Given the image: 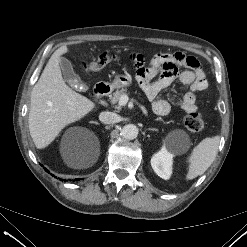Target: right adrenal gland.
<instances>
[{"label":"right adrenal gland","mask_w":247,"mask_h":247,"mask_svg":"<svg viewBox=\"0 0 247 247\" xmlns=\"http://www.w3.org/2000/svg\"><path fill=\"white\" fill-rule=\"evenodd\" d=\"M90 123H94V124H96V125H99V123L96 122V121H91Z\"/></svg>","instance_id":"1"}]
</instances>
